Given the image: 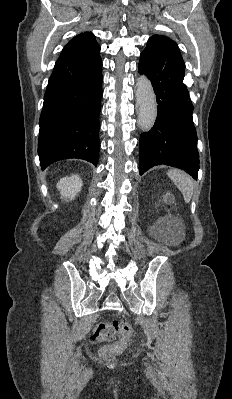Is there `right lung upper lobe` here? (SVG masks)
Instances as JSON below:
<instances>
[{"mask_svg": "<svg viewBox=\"0 0 232 399\" xmlns=\"http://www.w3.org/2000/svg\"><path fill=\"white\" fill-rule=\"evenodd\" d=\"M100 47L91 32L77 35L67 43L60 56H81L99 53Z\"/></svg>", "mask_w": 232, "mask_h": 399, "instance_id": "right-lung-upper-lobe-1", "label": "right lung upper lobe"}]
</instances>
